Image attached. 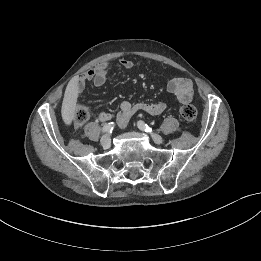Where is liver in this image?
Segmentation results:
<instances>
[{"instance_id":"liver-1","label":"liver","mask_w":261,"mask_h":261,"mask_svg":"<svg viewBox=\"0 0 261 261\" xmlns=\"http://www.w3.org/2000/svg\"><path fill=\"white\" fill-rule=\"evenodd\" d=\"M78 93V80L73 78L66 87L62 103V117L67 123H70L75 117Z\"/></svg>"}]
</instances>
